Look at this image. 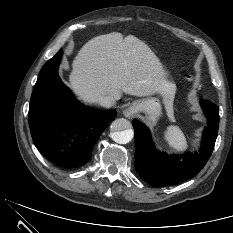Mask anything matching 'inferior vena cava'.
Listing matches in <instances>:
<instances>
[{"label": "inferior vena cava", "mask_w": 233, "mask_h": 233, "mask_svg": "<svg viewBox=\"0 0 233 233\" xmlns=\"http://www.w3.org/2000/svg\"><path fill=\"white\" fill-rule=\"evenodd\" d=\"M98 103L103 107L109 108L115 105V99L111 96H102Z\"/></svg>", "instance_id": "602c4592"}]
</instances>
